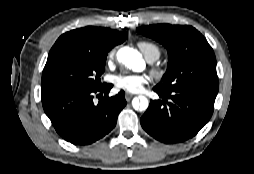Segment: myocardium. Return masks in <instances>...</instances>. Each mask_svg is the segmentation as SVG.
I'll return each mask as SVG.
<instances>
[{
    "label": "myocardium",
    "instance_id": "1",
    "mask_svg": "<svg viewBox=\"0 0 254 174\" xmlns=\"http://www.w3.org/2000/svg\"><path fill=\"white\" fill-rule=\"evenodd\" d=\"M152 72L156 78H162L165 75V69L161 66H154Z\"/></svg>",
    "mask_w": 254,
    "mask_h": 174
}]
</instances>
